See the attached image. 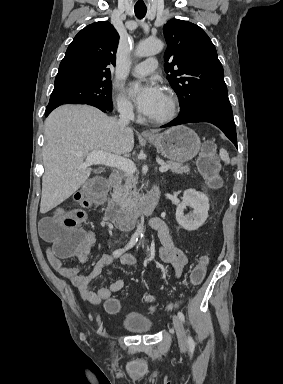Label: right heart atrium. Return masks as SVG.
<instances>
[{
    "instance_id": "1",
    "label": "right heart atrium",
    "mask_w": 283,
    "mask_h": 384,
    "mask_svg": "<svg viewBox=\"0 0 283 384\" xmlns=\"http://www.w3.org/2000/svg\"><path fill=\"white\" fill-rule=\"evenodd\" d=\"M115 106L118 112L123 117H130L133 114L131 103L121 94H117L114 99Z\"/></svg>"
}]
</instances>
